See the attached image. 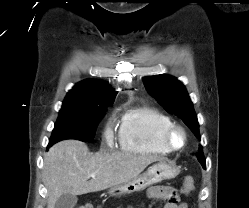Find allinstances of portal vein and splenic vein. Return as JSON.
<instances>
[{
    "label": "portal vein and splenic vein",
    "instance_id": "obj_1",
    "mask_svg": "<svg viewBox=\"0 0 249 208\" xmlns=\"http://www.w3.org/2000/svg\"><path fill=\"white\" fill-rule=\"evenodd\" d=\"M89 177L95 178V175L94 174H90Z\"/></svg>",
    "mask_w": 249,
    "mask_h": 208
}]
</instances>
